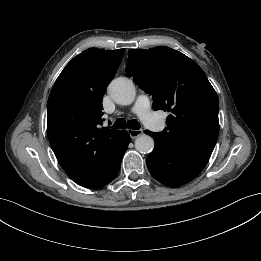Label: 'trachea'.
Returning a JSON list of instances; mask_svg holds the SVG:
<instances>
[{
    "label": "trachea",
    "instance_id": "trachea-1",
    "mask_svg": "<svg viewBox=\"0 0 261 261\" xmlns=\"http://www.w3.org/2000/svg\"><path fill=\"white\" fill-rule=\"evenodd\" d=\"M113 129H122V128H128V129H140V124L137 120L132 119L126 122L125 119L123 118H119L115 121L113 127Z\"/></svg>",
    "mask_w": 261,
    "mask_h": 261
}]
</instances>
